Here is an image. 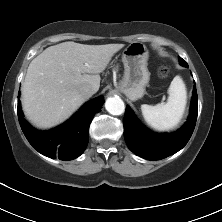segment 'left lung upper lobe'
<instances>
[{
	"mask_svg": "<svg viewBox=\"0 0 222 222\" xmlns=\"http://www.w3.org/2000/svg\"><path fill=\"white\" fill-rule=\"evenodd\" d=\"M178 58H179V62L182 66L188 67V64L181 57H178Z\"/></svg>",
	"mask_w": 222,
	"mask_h": 222,
	"instance_id": "obj_1",
	"label": "left lung upper lobe"
}]
</instances>
